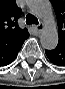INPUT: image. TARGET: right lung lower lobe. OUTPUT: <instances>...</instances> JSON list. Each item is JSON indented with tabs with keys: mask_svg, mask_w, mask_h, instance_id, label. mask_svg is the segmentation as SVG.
I'll list each match as a JSON object with an SVG mask.
<instances>
[{
	"mask_svg": "<svg viewBox=\"0 0 65 89\" xmlns=\"http://www.w3.org/2000/svg\"><path fill=\"white\" fill-rule=\"evenodd\" d=\"M25 40L7 48H0V66L10 64L20 51L22 44Z\"/></svg>",
	"mask_w": 65,
	"mask_h": 89,
	"instance_id": "98d812e1",
	"label": "right lung lower lobe"
}]
</instances>
